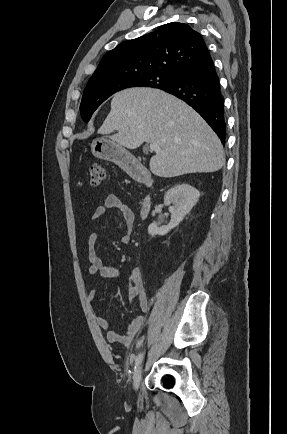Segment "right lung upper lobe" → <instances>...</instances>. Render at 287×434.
I'll use <instances>...</instances> for the list:
<instances>
[{"label": "right lung upper lobe", "mask_w": 287, "mask_h": 434, "mask_svg": "<svg viewBox=\"0 0 287 434\" xmlns=\"http://www.w3.org/2000/svg\"><path fill=\"white\" fill-rule=\"evenodd\" d=\"M208 56L198 32L187 24L172 22L107 52L89 82L152 73L177 76Z\"/></svg>", "instance_id": "1"}]
</instances>
